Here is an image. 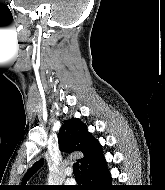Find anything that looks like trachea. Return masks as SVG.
<instances>
[{"mask_svg": "<svg viewBox=\"0 0 165 190\" xmlns=\"http://www.w3.org/2000/svg\"><path fill=\"white\" fill-rule=\"evenodd\" d=\"M73 171H74L75 177H80L79 163H75V164L73 165Z\"/></svg>", "mask_w": 165, "mask_h": 190, "instance_id": "trachea-1", "label": "trachea"}]
</instances>
